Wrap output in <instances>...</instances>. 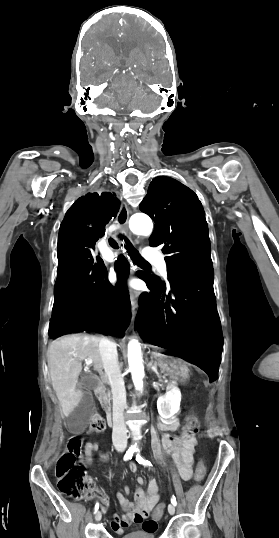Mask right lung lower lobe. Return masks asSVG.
<instances>
[{"label": "right lung lower lobe", "instance_id": "obj_1", "mask_svg": "<svg viewBox=\"0 0 279 538\" xmlns=\"http://www.w3.org/2000/svg\"><path fill=\"white\" fill-rule=\"evenodd\" d=\"M120 202L110 193H88L80 197L63 219L58 237L59 266L54 287V305L49 336L96 331L122 335L130 323V300L126 289L129 264L116 261L119 282L113 287L101 260L92 251L105 234V225L115 217Z\"/></svg>", "mask_w": 279, "mask_h": 538}]
</instances>
